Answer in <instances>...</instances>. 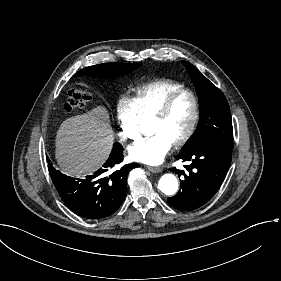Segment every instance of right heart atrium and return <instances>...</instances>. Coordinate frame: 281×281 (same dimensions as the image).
Wrapping results in <instances>:
<instances>
[{
	"instance_id": "right-heart-atrium-1",
	"label": "right heart atrium",
	"mask_w": 281,
	"mask_h": 281,
	"mask_svg": "<svg viewBox=\"0 0 281 281\" xmlns=\"http://www.w3.org/2000/svg\"><path fill=\"white\" fill-rule=\"evenodd\" d=\"M116 114L121 129V141L125 145V148L128 149L129 146L127 145V142L139 138V120L137 113L129 100L124 97H120L116 103Z\"/></svg>"
}]
</instances>
